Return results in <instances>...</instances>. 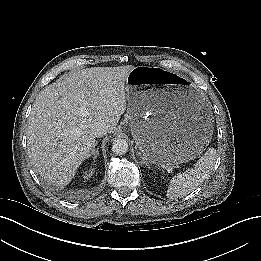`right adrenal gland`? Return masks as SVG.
Instances as JSON below:
<instances>
[{
    "instance_id": "2a0ac1e0",
    "label": "right adrenal gland",
    "mask_w": 261,
    "mask_h": 261,
    "mask_svg": "<svg viewBox=\"0 0 261 261\" xmlns=\"http://www.w3.org/2000/svg\"><path fill=\"white\" fill-rule=\"evenodd\" d=\"M97 142L95 143L96 146ZM91 156H93V160L95 161L97 156H98V150L97 149H93Z\"/></svg>"
}]
</instances>
